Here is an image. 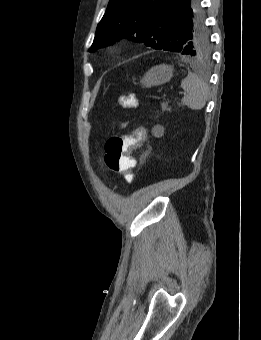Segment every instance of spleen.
Instances as JSON below:
<instances>
[{
  "mask_svg": "<svg viewBox=\"0 0 261 340\" xmlns=\"http://www.w3.org/2000/svg\"><path fill=\"white\" fill-rule=\"evenodd\" d=\"M181 88L187 92L183 97L182 103L192 110H201L208 99L209 87L195 73H188L187 77L182 80Z\"/></svg>",
  "mask_w": 261,
  "mask_h": 340,
  "instance_id": "obj_1",
  "label": "spleen"
}]
</instances>
